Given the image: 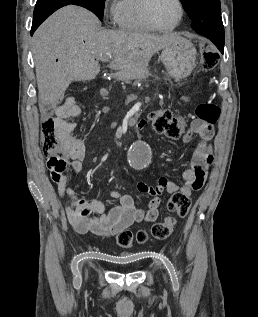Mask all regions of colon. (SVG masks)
<instances>
[{"label": "colon", "instance_id": "obj_1", "mask_svg": "<svg viewBox=\"0 0 258 317\" xmlns=\"http://www.w3.org/2000/svg\"><path fill=\"white\" fill-rule=\"evenodd\" d=\"M202 63L204 68L211 69L217 64V55L212 50L206 49L202 53ZM198 119L214 124L219 118L220 109L216 104L203 103L197 107ZM59 116L46 114L44 116L41 142L43 150L47 154L59 155L63 148V141L60 134L61 128L58 123ZM149 119L153 129L169 138H179L183 133V122L181 118L171 110L161 109L150 114ZM191 207V200L188 195L176 192L169 198L167 209L169 212L184 218ZM176 220L172 216L165 217L162 221L155 223L150 230L153 238L158 240L166 239L174 230ZM148 239L146 231H139L137 234L129 230H123L116 237V243L123 248L131 247L134 242L145 243Z\"/></svg>", "mask_w": 258, "mask_h": 317}]
</instances>
